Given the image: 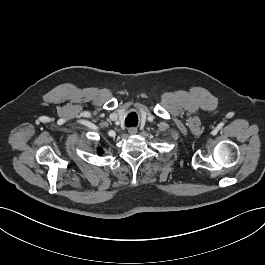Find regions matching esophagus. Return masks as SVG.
<instances>
[{
	"label": "esophagus",
	"instance_id": "obj_1",
	"mask_svg": "<svg viewBox=\"0 0 265 265\" xmlns=\"http://www.w3.org/2000/svg\"><path fill=\"white\" fill-rule=\"evenodd\" d=\"M128 132L130 135H135L137 133V128L136 127H131L128 129Z\"/></svg>",
	"mask_w": 265,
	"mask_h": 265
}]
</instances>
